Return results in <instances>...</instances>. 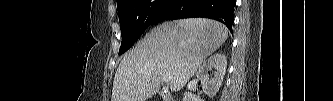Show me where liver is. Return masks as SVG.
Segmentation results:
<instances>
[{
	"label": "liver",
	"mask_w": 333,
	"mask_h": 101,
	"mask_svg": "<svg viewBox=\"0 0 333 101\" xmlns=\"http://www.w3.org/2000/svg\"><path fill=\"white\" fill-rule=\"evenodd\" d=\"M227 38L225 25L211 19H180L156 26L120 62L111 101H146L159 91L164 75L171 76V91L181 90Z\"/></svg>",
	"instance_id": "1"
}]
</instances>
